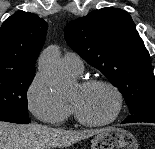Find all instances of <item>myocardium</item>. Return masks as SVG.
I'll list each match as a JSON object with an SVG mask.
<instances>
[{
  "label": "myocardium",
  "instance_id": "f54148a6",
  "mask_svg": "<svg viewBox=\"0 0 155 149\" xmlns=\"http://www.w3.org/2000/svg\"><path fill=\"white\" fill-rule=\"evenodd\" d=\"M80 86L82 88H90L93 86H104L107 89H109L115 97L114 112L111 117H109L108 119H106L104 121H91V120L84 118L80 114V112L77 110V108L73 104H71L72 112H73L76 120L80 124H82L84 126H89V127H101V126L109 125L118 119V117L120 116L122 109H123L124 99H123L122 92L115 84H113L112 82L105 80V79L94 78V79H88V80L81 82Z\"/></svg>",
  "mask_w": 155,
  "mask_h": 149
}]
</instances>
